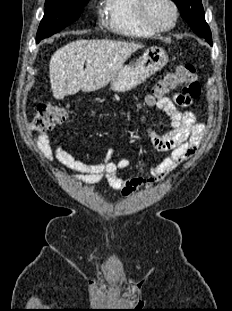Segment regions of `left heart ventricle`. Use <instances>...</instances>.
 Segmentation results:
<instances>
[{
  "instance_id": "left-heart-ventricle-1",
  "label": "left heart ventricle",
  "mask_w": 232,
  "mask_h": 311,
  "mask_svg": "<svg viewBox=\"0 0 232 311\" xmlns=\"http://www.w3.org/2000/svg\"><path fill=\"white\" fill-rule=\"evenodd\" d=\"M146 12L149 20L160 27L170 25L173 20V10L167 0H149Z\"/></svg>"
}]
</instances>
